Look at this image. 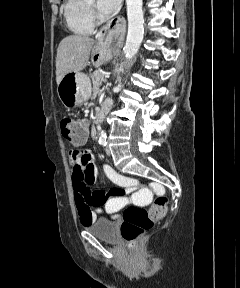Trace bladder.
I'll return each instance as SVG.
<instances>
[{"label":"bladder","instance_id":"1","mask_svg":"<svg viewBox=\"0 0 240 288\" xmlns=\"http://www.w3.org/2000/svg\"><path fill=\"white\" fill-rule=\"evenodd\" d=\"M86 230L100 240L114 242L117 238L116 225L113 221L99 219L85 226Z\"/></svg>","mask_w":240,"mask_h":288}]
</instances>
